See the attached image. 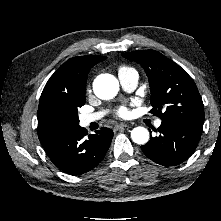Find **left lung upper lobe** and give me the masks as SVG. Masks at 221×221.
Returning <instances> with one entry per match:
<instances>
[{"mask_svg": "<svg viewBox=\"0 0 221 221\" xmlns=\"http://www.w3.org/2000/svg\"><path fill=\"white\" fill-rule=\"evenodd\" d=\"M122 56L144 68L152 94V113L162 121L204 122L202 98L193 79L182 67L154 50L123 53Z\"/></svg>", "mask_w": 221, "mask_h": 221, "instance_id": "left-lung-upper-lobe-1", "label": "left lung upper lobe"}]
</instances>
